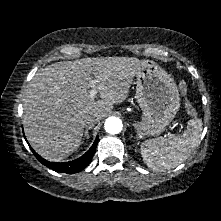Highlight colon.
<instances>
[{
	"mask_svg": "<svg viewBox=\"0 0 221 221\" xmlns=\"http://www.w3.org/2000/svg\"><path fill=\"white\" fill-rule=\"evenodd\" d=\"M179 88L183 93L187 92V84L184 81L180 82ZM186 110H187L188 114L191 116L197 115L196 108L189 101L186 102Z\"/></svg>",
	"mask_w": 221,
	"mask_h": 221,
	"instance_id": "colon-1",
	"label": "colon"
}]
</instances>
